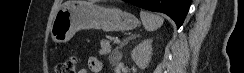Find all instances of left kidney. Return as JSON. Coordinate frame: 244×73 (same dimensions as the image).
<instances>
[{
  "mask_svg": "<svg viewBox=\"0 0 244 73\" xmlns=\"http://www.w3.org/2000/svg\"><path fill=\"white\" fill-rule=\"evenodd\" d=\"M152 40L147 39L139 43L132 51L131 58L140 69H145L152 57Z\"/></svg>",
  "mask_w": 244,
  "mask_h": 73,
  "instance_id": "5707ae66",
  "label": "left kidney"
}]
</instances>
